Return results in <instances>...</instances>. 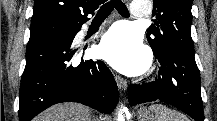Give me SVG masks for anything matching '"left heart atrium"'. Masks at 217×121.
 Listing matches in <instances>:
<instances>
[{
	"label": "left heart atrium",
	"mask_w": 217,
	"mask_h": 121,
	"mask_svg": "<svg viewBox=\"0 0 217 121\" xmlns=\"http://www.w3.org/2000/svg\"><path fill=\"white\" fill-rule=\"evenodd\" d=\"M99 50L111 66L126 74H140L149 64V54L139 34L125 24L112 27L103 36Z\"/></svg>",
	"instance_id": "1"
}]
</instances>
